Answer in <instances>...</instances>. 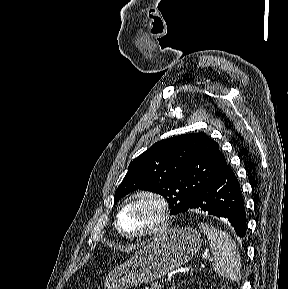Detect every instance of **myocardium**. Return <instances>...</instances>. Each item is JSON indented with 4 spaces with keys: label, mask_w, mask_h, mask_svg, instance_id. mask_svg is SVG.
<instances>
[{
    "label": "myocardium",
    "mask_w": 288,
    "mask_h": 289,
    "mask_svg": "<svg viewBox=\"0 0 288 289\" xmlns=\"http://www.w3.org/2000/svg\"><path fill=\"white\" fill-rule=\"evenodd\" d=\"M140 198L150 199L155 202L157 207L159 208V217L157 221L146 230L136 233L126 232L122 229L120 225V214L129 203ZM170 213L171 210L169 203L163 195L151 190H141L133 193L120 204L115 213L114 223L118 232L126 238L141 239L146 237H153L163 233L168 229V227L170 226Z\"/></svg>",
    "instance_id": "myocardium-1"
}]
</instances>
